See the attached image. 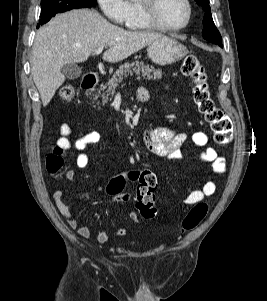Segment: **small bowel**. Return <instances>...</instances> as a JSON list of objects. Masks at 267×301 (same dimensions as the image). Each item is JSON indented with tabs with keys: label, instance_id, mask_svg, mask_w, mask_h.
Segmentation results:
<instances>
[{
	"label": "small bowel",
	"instance_id": "small-bowel-1",
	"mask_svg": "<svg viewBox=\"0 0 267 301\" xmlns=\"http://www.w3.org/2000/svg\"><path fill=\"white\" fill-rule=\"evenodd\" d=\"M143 92L147 93L144 87L138 88V94ZM59 132L60 137L57 140L58 147L64 150H73L77 152L78 154L75 160L76 166L78 168L86 167L89 162V156L85 150L89 145L100 141V134L98 132H90L74 141H71L69 136L73 134V128L68 123L61 124ZM143 140L147 150L154 155L168 159H182L183 155L181 152V146L187 140V135L185 133L175 132L174 130L166 127H154L145 131ZM191 141L195 146L203 148L199 156L203 163L211 164L216 174H222L225 172V158L221 157L215 148L209 146V137L205 132H195L191 136ZM65 177L70 181L74 180L75 171L72 169L67 170L65 172ZM215 191V182L207 180L199 189L188 188L184 198V203L196 204L202 201L205 197L213 195ZM90 195V192H88L81 195L80 198L85 199ZM62 197L63 193L61 190H56L53 193V200L60 214L66 219L68 225L72 229L76 230L80 236L87 239L91 238V229L89 227L79 225L78 221L73 217L69 206L63 201ZM130 199L131 194L126 191L115 200H112V204L127 202ZM128 216L131 220L138 221V215L135 212H130ZM126 233V229L120 228L115 231L114 235L124 236ZM109 237V232L100 231L94 236V239L98 243H105L109 240Z\"/></svg>",
	"mask_w": 267,
	"mask_h": 301
}]
</instances>
